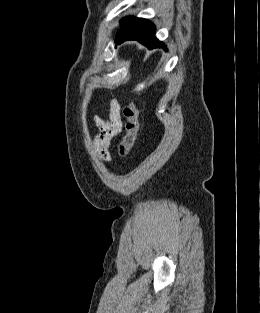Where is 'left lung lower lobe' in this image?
Segmentation results:
<instances>
[{
	"label": "left lung lower lobe",
	"mask_w": 260,
	"mask_h": 313,
	"mask_svg": "<svg viewBox=\"0 0 260 313\" xmlns=\"http://www.w3.org/2000/svg\"><path fill=\"white\" fill-rule=\"evenodd\" d=\"M126 40H138L149 49L156 47L165 48L163 43L155 37L154 24L143 18H138L136 22L123 34L117 43L121 44Z\"/></svg>",
	"instance_id": "0a47b994"
}]
</instances>
